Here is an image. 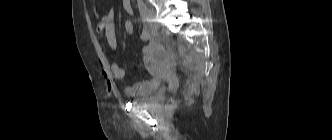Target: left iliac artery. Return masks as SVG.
I'll return each mask as SVG.
<instances>
[{"label": "left iliac artery", "mask_w": 332, "mask_h": 140, "mask_svg": "<svg viewBox=\"0 0 332 140\" xmlns=\"http://www.w3.org/2000/svg\"><path fill=\"white\" fill-rule=\"evenodd\" d=\"M137 5H138V9H139V12H140L141 16L143 18H145V13H146L145 3L143 2V0H137Z\"/></svg>", "instance_id": "left-iliac-artery-1"}]
</instances>
